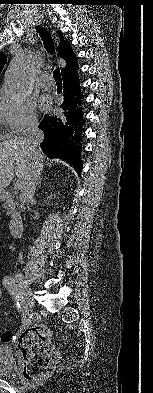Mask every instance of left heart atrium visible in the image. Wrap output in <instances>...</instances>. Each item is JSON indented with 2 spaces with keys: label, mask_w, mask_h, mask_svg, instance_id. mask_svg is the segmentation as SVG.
Returning a JSON list of instances; mask_svg holds the SVG:
<instances>
[{
  "label": "left heart atrium",
  "mask_w": 153,
  "mask_h": 393,
  "mask_svg": "<svg viewBox=\"0 0 153 393\" xmlns=\"http://www.w3.org/2000/svg\"><path fill=\"white\" fill-rule=\"evenodd\" d=\"M42 105H43L44 108H47V103H46V101L43 100V101H42Z\"/></svg>",
  "instance_id": "left-heart-atrium-1"
}]
</instances>
